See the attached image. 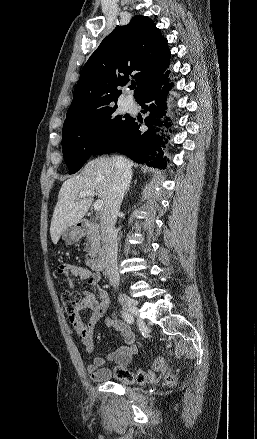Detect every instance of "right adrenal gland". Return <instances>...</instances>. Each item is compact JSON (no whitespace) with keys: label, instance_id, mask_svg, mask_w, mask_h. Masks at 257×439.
<instances>
[{"label":"right adrenal gland","instance_id":"1","mask_svg":"<svg viewBox=\"0 0 257 439\" xmlns=\"http://www.w3.org/2000/svg\"><path fill=\"white\" fill-rule=\"evenodd\" d=\"M129 188H130V185L128 186L126 193L129 191Z\"/></svg>","mask_w":257,"mask_h":439}]
</instances>
